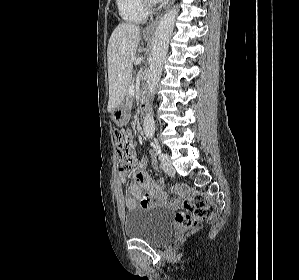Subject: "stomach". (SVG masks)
<instances>
[{
	"mask_svg": "<svg viewBox=\"0 0 299 280\" xmlns=\"http://www.w3.org/2000/svg\"><path fill=\"white\" fill-rule=\"evenodd\" d=\"M130 103L122 102L112 113V119L118 127H123L129 122Z\"/></svg>",
	"mask_w": 299,
	"mask_h": 280,
	"instance_id": "stomach-1",
	"label": "stomach"
}]
</instances>
